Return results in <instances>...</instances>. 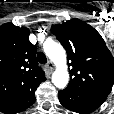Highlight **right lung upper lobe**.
<instances>
[{
	"label": "right lung upper lobe",
	"instance_id": "obj_1",
	"mask_svg": "<svg viewBox=\"0 0 114 114\" xmlns=\"http://www.w3.org/2000/svg\"><path fill=\"white\" fill-rule=\"evenodd\" d=\"M29 34L28 28L12 23L0 26V103L30 91L46 80Z\"/></svg>",
	"mask_w": 114,
	"mask_h": 114
}]
</instances>
